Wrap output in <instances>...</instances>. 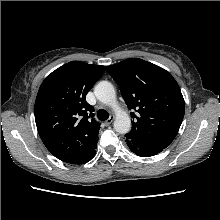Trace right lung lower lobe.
I'll return each instance as SVG.
<instances>
[{
	"label": "right lung lower lobe",
	"instance_id": "obj_1",
	"mask_svg": "<svg viewBox=\"0 0 220 220\" xmlns=\"http://www.w3.org/2000/svg\"><path fill=\"white\" fill-rule=\"evenodd\" d=\"M96 147L94 148V150L90 154H88L84 159H82L81 161H79L76 164H83V163L88 162L90 159H92L94 157L95 153H96L95 152Z\"/></svg>",
	"mask_w": 220,
	"mask_h": 220
}]
</instances>
